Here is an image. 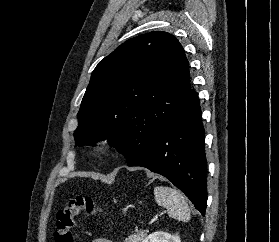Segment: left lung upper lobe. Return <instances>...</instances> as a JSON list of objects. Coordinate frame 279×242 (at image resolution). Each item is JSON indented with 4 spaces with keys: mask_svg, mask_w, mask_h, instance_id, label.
Masks as SVG:
<instances>
[{
    "mask_svg": "<svg viewBox=\"0 0 279 242\" xmlns=\"http://www.w3.org/2000/svg\"><path fill=\"white\" fill-rule=\"evenodd\" d=\"M190 89L188 60L174 36L158 31L129 39L94 69L75 143L109 138L129 162L166 127Z\"/></svg>",
    "mask_w": 279,
    "mask_h": 242,
    "instance_id": "5c2ea615",
    "label": "left lung upper lobe"
}]
</instances>
